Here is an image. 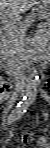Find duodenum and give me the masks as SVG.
Here are the masks:
<instances>
[{
    "label": "duodenum",
    "instance_id": "obj_1",
    "mask_svg": "<svg viewBox=\"0 0 50 148\" xmlns=\"http://www.w3.org/2000/svg\"><path fill=\"white\" fill-rule=\"evenodd\" d=\"M47 60H48V54L43 53V54H40L36 57L27 56L23 59V63L29 67L34 68L36 65L39 66V65L45 63ZM17 87L19 89H22V87H23L22 80L20 77H18V80H17Z\"/></svg>",
    "mask_w": 50,
    "mask_h": 148
}]
</instances>
